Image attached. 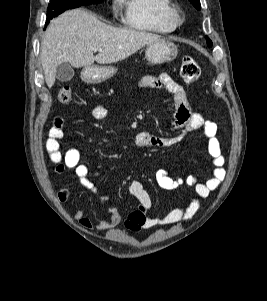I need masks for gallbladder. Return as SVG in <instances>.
I'll use <instances>...</instances> for the list:
<instances>
[{"instance_id": "bac80fb5", "label": "gallbladder", "mask_w": 267, "mask_h": 301, "mask_svg": "<svg viewBox=\"0 0 267 301\" xmlns=\"http://www.w3.org/2000/svg\"><path fill=\"white\" fill-rule=\"evenodd\" d=\"M74 76V69L69 63L59 64L56 68V79L60 82L70 81Z\"/></svg>"}]
</instances>
